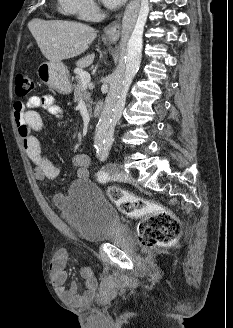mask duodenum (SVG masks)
I'll use <instances>...</instances> for the list:
<instances>
[{
    "mask_svg": "<svg viewBox=\"0 0 233 328\" xmlns=\"http://www.w3.org/2000/svg\"><path fill=\"white\" fill-rule=\"evenodd\" d=\"M102 108H103V102L98 101L96 103L95 108H94V111H93L94 116L99 115L100 112L102 111Z\"/></svg>",
    "mask_w": 233,
    "mask_h": 328,
    "instance_id": "1",
    "label": "duodenum"
}]
</instances>
